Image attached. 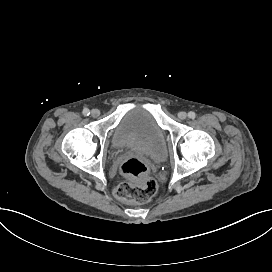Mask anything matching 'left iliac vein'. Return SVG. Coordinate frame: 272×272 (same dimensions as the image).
Segmentation results:
<instances>
[{"label":"left iliac vein","mask_w":272,"mask_h":272,"mask_svg":"<svg viewBox=\"0 0 272 272\" xmlns=\"http://www.w3.org/2000/svg\"><path fill=\"white\" fill-rule=\"evenodd\" d=\"M186 117H187L186 112L181 111V112L178 113V118H179V119L183 120V119H185Z\"/></svg>","instance_id":"obj_1"}]
</instances>
